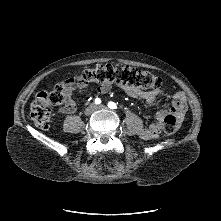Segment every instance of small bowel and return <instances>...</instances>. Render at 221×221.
I'll return each instance as SVG.
<instances>
[{
	"instance_id": "obj_1",
	"label": "small bowel",
	"mask_w": 221,
	"mask_h": 221,
	"mask_svg": "<svg viewBox=\"0 0 221 221\" xmlns=\"http://www.w3.org/2000/svg\"><path fill=\"white\" fill-rule=\"evenodd\" d=\"M116 86L132 98L143 99L149 106L153 105L156 99L163 94L162 91L158 89L146 91L120 83H116ZM111 89V84H102L95 88L96 92L99 94L108 93ZM76 92L79 94H83L85 92V87L74 86L73 84L69 85L67 100L65 105L60 109L61 113L70 114L76 111L77 107L74 100V94ZM172 98L173 100L171 102V105L156 112V114L154 115V121L142 130L141 137L143 139L150 140L157 138L161 130L164 128V121L165 118L168 116L175 117L177 126L181 124V122L184 120L187 110L186 98L184 94L181 92H177L172 96Z\"/></svg>"
}]
</instances>
